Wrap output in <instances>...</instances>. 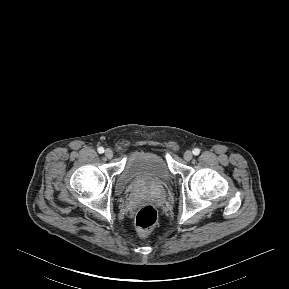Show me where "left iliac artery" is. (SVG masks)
Masks as SVG:
<instances>
[{
  "label": "left iliac artery",
  "instance_id": "left-iliac-artery-1",
  "mask_svg": "<svg viewBox=\"0 0 289 289\" xmlns=\"http://www.w3.org/2000/svg\"><path fill=\"white\" fill-rule=\"evenodd\" d=\"M200 153V149L199 148H195L194 150H193V154L194 155H198Z\"/></svg>",
  "mask_w": 289,
  "mask_h": 289
}]
</instances>
